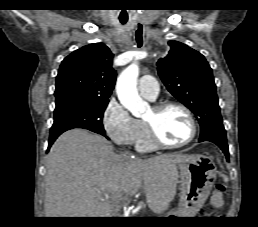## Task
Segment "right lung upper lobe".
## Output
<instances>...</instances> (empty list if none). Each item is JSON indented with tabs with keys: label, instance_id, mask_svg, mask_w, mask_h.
<instances>
[{
	"label": "right lung upper lobe",
	"instance_id": "1",
	"mask_svg": "<svg viewBox=\"0 0 258 227\" xmlns=\"http://www.w3.org/2000/svg\"><path fill=\"white\" fill-rule=\"evenodd\" d=\"M113 54L102 43L84 46L61 63L56 80L55 96L74 94L108 100L116 81L112 68Z\"/></svg>",
	"mask_w": 258,
	"mask_h": 227
}]
</instances>
